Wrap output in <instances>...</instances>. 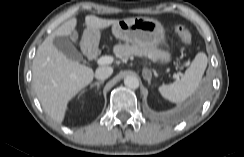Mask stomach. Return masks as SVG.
Masks as SVG:
<instances>
[{"instance_id":"0dacf381","label":"stomach","mask_w":244,"mask_h":157,"mask_svg":"<svg viewBox=\"0 0 244 157\" xmlns=\"http://www.w3.org/2000/svg\"><path fill=\"white\" fill-rule=\"evenodd\" d=\"M112 32L118 39L153 52L157 60L163 64L171 60L169 50L159 48L166 43L164 26L157 19L149 17L121 19L113 25Z\"/></svg>"}]
</instances>
